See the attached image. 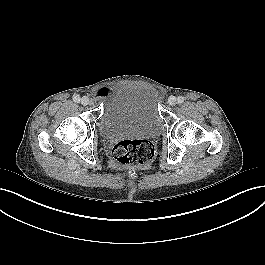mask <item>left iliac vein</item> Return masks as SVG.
<instances>
[{
    "mask_svg": "<svg viewBox=\"0 0 265 265\" xmlns=\"http://www.w3.org/2000/svg\"><path fill=\"white\" fill-rule=\"evenodd\" d=\"M177 103V100L174 96H170L168 98V104L171 105V106H174L175 104Z\"/></svg>",
    "mask_w": 265,
    "mask_h": 265,
    "instance_id": "left-iliac-vein-1",
    "label": "left iliac vein"
}]
</instances>
